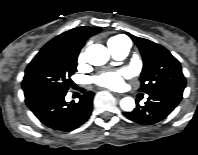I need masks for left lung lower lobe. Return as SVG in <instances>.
Instances as JSON below:
<instances>
[{
    "label": "left lung lower lobe",
    "instance_id": "1",
    "mask_svg": "<svg viewBox=\"0 0 198 155\" xmlns=\"http://www.w3.org/2000/svg\"><path fill=\"white\" fill-rule=\"evenodd\" d=\"M182 99V93L159 91L149 94L144 106H137L132 112L124 115L139 124L151 125L166 118Z\"/></svg>",
    "mask_w": 198,
    "mask_h": 155
}]
</instances>
